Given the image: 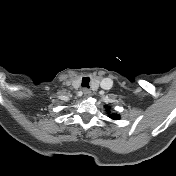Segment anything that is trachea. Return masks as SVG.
Instances as JSON below:
<instances>
[{
	"label": "trachea",
	"instance_id": "obj_1",
	"mask_svg": "<svg viewBox=\"0 0 176 176\" xmlns=\"http://www.w3.org/2000/svg\"><path fill=\"white\" fill-rule=\"evenodd\" d=\"M90 78L89 77H83L82 78V87L89 88Z\"/></svg>",
	"mask_w": 176,
	"mask_h": 176
}]
</instances>
